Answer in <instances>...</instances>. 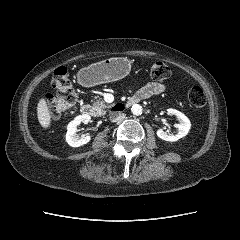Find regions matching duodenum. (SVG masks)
<instances>
[{
	"instance_id": "duodenum-1",
	"label": "duodenum",
	"mask_w": 240,
	"mask_h": 240,
	"mask_svg": "<svg viewBox=\"0 0 240 240\" xmlns=\"http://www.w3.org/2000/svg\"><path fill=\"white\" fill-rule=\"evenodd\" d=\"M143 98L138 94H134L133 96H131L127 101L116 104L114 106V110L115 111H123L126 108H129L137 103H139ZM81 112L85 115H93L94 111L92 109V107L88 104H84L81 106Z\"/></svg>"
}]
</instances>
